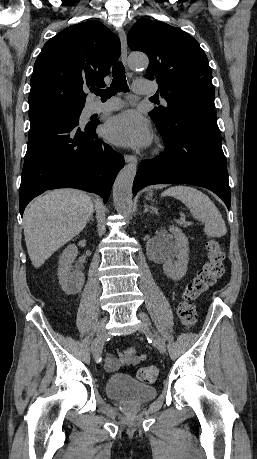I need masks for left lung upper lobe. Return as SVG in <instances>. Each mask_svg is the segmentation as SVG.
Listing matches in <instances>:
<instances>
[{
    "instance_id": "obj_1",
    "label": "left lung upper lobe",
    "mask_w": 257,
    "mask_h": 459,
    "mask_svg": "<svg viewBox=\"0 0 257 459\" xmlns=\"http://www.w3.org/2000/svg\"><path fill=\"white\" fill-rule=\"evenodd\" d=\"M127 41L132 50L149 57L145 77L157 81L167 101V107L149 113L154 122H166L186 108H214L212 71L191 35L163 22L141 19L130 29Z\"/></svg>"
}]
</instances>
